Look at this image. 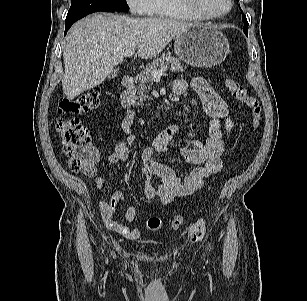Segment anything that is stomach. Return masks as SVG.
Listing matches in <instances>:
<instances>
[{
	"label": "stomach",
	"mask_w": 307,
	"mask_h": 301,
	"mask_svg": "<svg viewBox=\"0 0 307 301\" xmlns=\"http://www.w3.org/2000/svg\"><path fill=\"white\" fill-rule=\"evenodd\" d=\"M175 54L183 62L201 68L220 64L229 53L226 37L209 25H194L175 38Z\"/></svg>",
	"instance_id": "1"
}]
</instances>
